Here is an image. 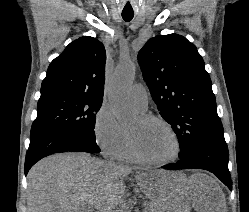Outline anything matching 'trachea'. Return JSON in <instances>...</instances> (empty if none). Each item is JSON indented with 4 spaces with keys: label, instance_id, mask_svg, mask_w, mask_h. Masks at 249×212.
I'll list each match as a JSON object with an SVG mask.
<instances>
[{
    "label": "trachea",
    "instance_id": "1",
    "mask_svg": "<svg viewBox=\"0 0 249 212\" xmlns=\"http://www.w3.org/2000/svg\"><path fill=\"white\" fill-rule=\"evenodd\" d=\"M134 13H122L123 20L130 22L133 19Z\"/></svg>",
    "mask_w": 249,
    "mask_h": 212
}]
</instances>
